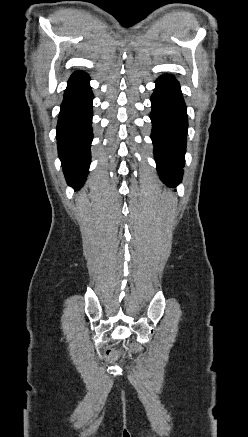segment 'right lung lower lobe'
Returning a JSON list of instances; mask_svg holds the SVG:
<instances>
[{"label":"right lung lower lobe","mask_w":248,"mask_h":437,"mask_svg":"<svg viewBox=\"0 0 248 437\" xmlns=\"http://www.w3.org/2000/svg\"><path fill=\"white\" fill-rule=\"evenodd\" d=\"M90 77L74 72L68 80L57 124L58 152L67 183L80 189L90 165L92 100Z\"/></svg>","instance_id":"right-lung-lower-lobe-1"}]
</instances>
